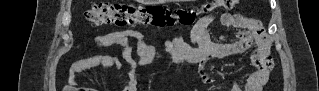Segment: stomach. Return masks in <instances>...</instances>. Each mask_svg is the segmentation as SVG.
Instances as JSON below:
<instances>
[{"mask_svg":"<svg viewBox=\"0 0 319 91\" xmlns=\"http://www.w3.org/2000/svg\"><path fill=\"white\" fill-rule=\"evenodd\" d=\"M165 0H143L144 4H157V3H162Z\"/></svg>","mask_w":319,"mask_h":91,"instance_id":"obj_1","label":"stomach"}]
</instances>
